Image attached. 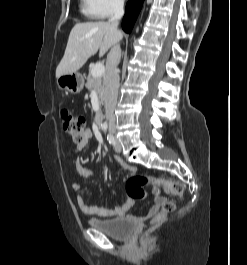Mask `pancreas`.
<instances>
[{"label": "pancreas", "instance_id": "obj_1", "mask_svg": "<svg viewBox=\"0 0 247 265\" xmlns=\"http://www.w3.org/2000/svg\"><path fill=\"white\" fill-rule=\"evenodd\" d=\"M92 68L89 70L87 77L86 88L90 91L95 89L100 100V104L103 102L106 90V78L104 75L100 77H93L91 74Z\"/></svg>", "mask_w": 247, "mask_h": 265}]
</instances>
